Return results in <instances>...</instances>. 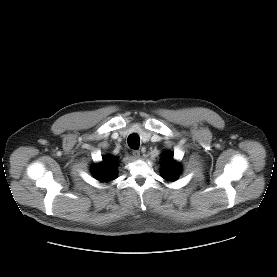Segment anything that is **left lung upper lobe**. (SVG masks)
<instances>
[{
  "label": "left lung upper lobe",
  "instance_id": "1",
  "mask_svg": "<svg viewBox=\"0 0 277 277\" xmlns=\"http://www.w3.org/2000/svg\"><path fill=\"white\" fill-rule=\"evenodd\" d=\"M162 177L167 181H175L180 175V166L173 159L172 153H166L162 160Z\"/></svg>",
  "mask_w": 277,
  "mask_h": 277
}]
</instances>
